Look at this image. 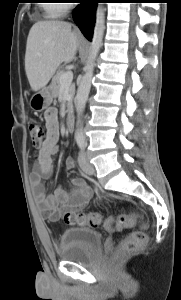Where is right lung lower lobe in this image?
Segmentation results:
<instances>
[{"mask_svg": "<svg viewBox=\"0 0 181 300\" xmlns=\"http://www.w3.org/2000/svg\"><path fill=\"white\" fill-rule=\"evenodd\" d=\"M97 0H83L73 11V19L84 36L92 39Z\"/></svg>", "mask_w": 181, "mask_h": 300, "instance_id": "right-lung-lower-lobe-1", "label": "right lung lower lobe"}]
</instances>
